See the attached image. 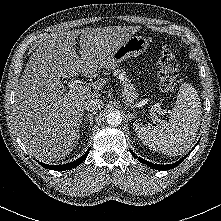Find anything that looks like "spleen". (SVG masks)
I'll list each match as a JSON object with an SVG mask.
<instances>
[{"mask_svg": "<svg viewBox=\"0 0 221 221\" xmlns=\"http://www.w3.org/2000/svg\"><path fill=\"white\" fill-rule=\"evenodd\" d=\"M201 102L196 89L183 83L169 121L152 129L135 124V131L144 145L166 155L178 156L194 142L201 120Z\"/></svg>", "mask_w": 221, "mask_h": 221, "instance_id": "spleen-1", "label": "spleen"}]
</instances>
